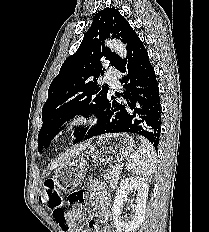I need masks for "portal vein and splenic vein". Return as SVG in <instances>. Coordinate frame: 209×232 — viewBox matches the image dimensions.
<instances>
[{
	"label": "portal vein and splenic vein",
	"instance_id": "obj_1",
	"mask_svg": "<svg viewBox=\"0 0 209 232\" xmlns=\"http://www.w3.org/2000/svg\"><path fill=\"white\" fill-rule=\"evenodd\" d=\"M115 168H119V167L114 166L113 169H115Z\"/></svg>",
	"mask_w": 209,
	"mask_h": 232
}]
</instances>
